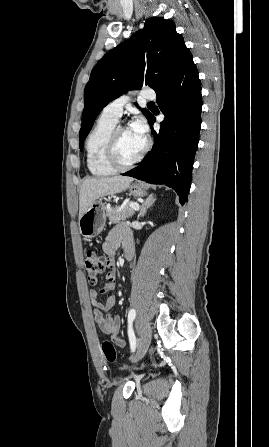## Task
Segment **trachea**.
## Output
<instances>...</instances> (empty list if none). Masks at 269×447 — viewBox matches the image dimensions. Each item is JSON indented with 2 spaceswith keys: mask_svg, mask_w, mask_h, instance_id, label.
<instances>
[{
  "mask_svg": "<svg viewBox=\"0 0 269 447\" xmlns=\"http://www.w3.org/2000/svg\"><path fill=\"white\" fill-rule=\"evenodd\" d=\"M148 105H155L154 102H149Z\"/></svg>",
  "mask_w": 269,
  "mask_h": 447,
  "instance_id": "trachea-1",
  "label": "trachea"
}]
</instances>
